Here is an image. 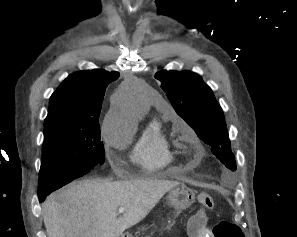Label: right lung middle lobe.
<instances>
[{
  "instance_id": "right-lung-middle-lobe-1",
  "label": "right lung middle lobe",
  "mask_w": 297,
  "mask_h": 237,
  "mask_svg": "<svg viewBox=\"0 0 297 237\" xmlns=\"http://www.w3.org/2000/svg\"><path fill=\"white\" fill-rule=\"evenodd\" d=\"M98 121L64 120L45 125L39 177L41 191H54L104 163Z\"/></svg>"
}]
</instances>
